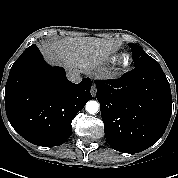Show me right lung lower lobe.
Listing matches in <instances>:
<instances>
[{
  "mask_svg": "<svg viewBox=\"0 0 178 178\" xmlns=\"http://www.w3.org/2000/svg\"><path fill=\"white\" fill-rule=\"evenodd\" d=\"M91 85L89 78L70 82L63 68L44 62L38 48L22 53L5 87L8 120L30 143L59 146L70 137L73 118L92 99Z\"/></svg>",
  "mask_w": 178,
  "mask_h": 178,
  "instance_id": "1",
  "label": "right lung lower lobe"
}]
</instances>
